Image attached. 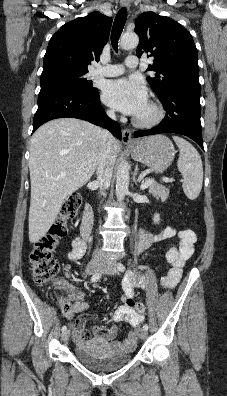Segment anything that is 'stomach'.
<instances>
[{"label": "stomach", "mask_w": 227, "mask_h": 396, "mask_svg": "<svg viewBox=\"0 0 227 396\" xmlns=\"http://www.w3.org/2000/svg\"><path fill=\"white\" fill-rule=\"evenodd\" d=\"M132 157L157 173L166 170L173 162L175 149L163 135L146 137L130 147Z\"/></svg>", "instance_id": "1"}]
</instances>
